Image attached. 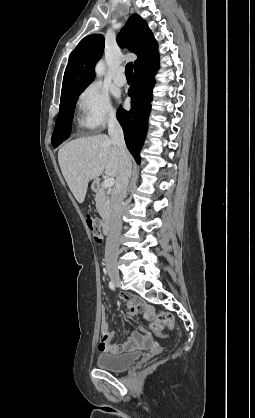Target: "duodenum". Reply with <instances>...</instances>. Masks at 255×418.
Listing matches in <instances>:
<instances>
[{"label": "duodenum", "mask_w": 255, "mask_h": 418, "mask_svg": "<svg viewBox=\"0 0 255 418\" xmlns=\"http://www.w3.org/2000/svg\"><path fill=\"white\" fill-rule=\"evenodd\" d=\"M100 186H101V183H100V181H98V180H95V181L92 183V189H93L94 191L99 190V189H100ZM110 231H111V216H107V217L103 220V223H102V233H103L104 235H108V234L110 233Z\"/></svg>", "instance_id": "obj_1"}]
</instances>
